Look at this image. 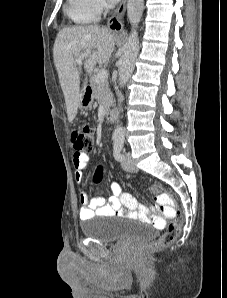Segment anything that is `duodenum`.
Here are the masks:
<instances>
[{"mask_svg":"<svg viewBox=\"0 0 227 298\" xmlns=\"http://www.w3.org/2000/svg\"><path fill=\"white\" fill-rule=\"evenodd\" d=\"M85 94L87 96H90L92 94L91 87L88 86L85 88ZM116 119H117V111L115 109H110L106 114L107 123L112 125L115 123Z\"/></svg>","mask_w":227,"mask_h":298,"instance_id":"410a0bca","label":"duodenum"}]
</instances>
